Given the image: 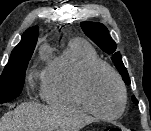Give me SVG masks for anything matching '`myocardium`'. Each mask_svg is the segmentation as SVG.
Listing matches in <instances>:
<instances>
[{
	"mask_svg": "<svg viewBox=\"0 0 151 131\" xmlns=\"http://www.w3.org/2000/svg\"><path fill=\"white\" fill-rule=\"evenodd\" d=\"M99 69H105L113 76V78L115 79V81L117 83L119 91H120L121 105H120L119 110L115 114H112V115L103 114L100 111H98L93 106V104L90 100L89 94H88L89 78L95 71H97ZM75 93H76L79 101L83 105V107L88 112H90L97 118H100L103 120L118 119L119 117H121L123 115V113L125 112L126 107H127V91H126V87L124 85L122 78L120 77L118 72L112 66H110L109 64H107L106 62L101 61V60L93 61L84 68V70L82 71V73L80 74L79 78L77 79V81L75 83Z\"/></svg>",
	"mask_w": 151,
	"mask_h": 131,
	"instance_id": "myocardium-1",
	"label": "myocardium"
}]
</instances>
